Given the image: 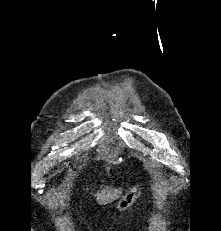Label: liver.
<instances>
[{"instance_id":"obj_1","label":"liver","mask_w":221,"mask_h":231,"mask_svg":"<svg viewBox=\"0 0 221 231\" xmlns=\"http://www.w3.org/2000/svg\"><path fill=\"white\" fill-rule=\"evenodd\" d=\"M121 195H122V190L120 188L116 189V188H108V187L96 193L97 202L100 205L111 203L119 199Z\"/></svg>"}]
</instances>
